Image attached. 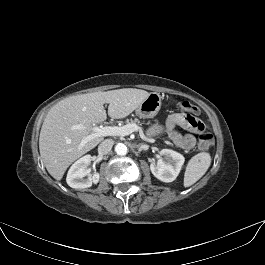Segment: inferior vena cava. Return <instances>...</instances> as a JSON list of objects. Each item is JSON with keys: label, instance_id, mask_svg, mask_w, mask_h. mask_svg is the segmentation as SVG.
I'll list each match as a JSON object with an SVG mask.
<instances>
[{"label": "inferior vena cava", "instance_id": "1", "mask_svg": "<svg viewBox=\"0 0 265 265\" xmlns=\"http://www.w3.org/2000/svg\"><path fill=\"white\" fill-rule=\"evenodd\" d=\"M113 145H114V141L112 139H105L99 144L98 153L101 155L108 154L111 151Z\"/></svg>", "mask_w": 265, "mask_h": 265}]
</instances>
